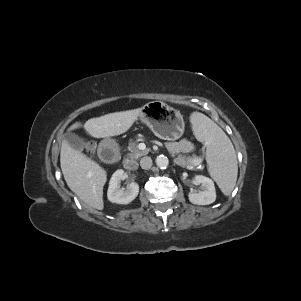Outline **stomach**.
<instances>
[{
    "label": "stomach",
    "instance_id": "obj_1",
    "mask_svg": "<svg viewBox=\"0 0 301 301\" xmlns=\"http://www.w3.org/2000/svg\"><path fill=\"white\" fill-rule=\"evenodd\" d=\"M140 110L141 120L157 137L176 140L183 135L185 122L180 111L161 101L150 102Z\"/></svg>",
    "mask_w": 301,
    "mask_h": 301
}]
</instances>
